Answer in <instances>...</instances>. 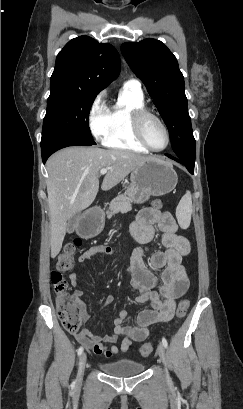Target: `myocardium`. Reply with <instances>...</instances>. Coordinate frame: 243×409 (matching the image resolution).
<instances>
[{"instance_id":"myocardium-1","label":"myocardium","mask_w":243,"mask_h":409,"mask_svg":"<svg viewBox=\"0 0 243 409\" xmlns=\"http://www.w3.org/2000/svg\"><path fill=\"white\" fill-rule=\"evenodd\" d=\"M149 117L155 119L162 126V128L164 129V132L166 134V138H167L166 145L161 149H156V148L152 147L145 138L143 124H144L145 119L149 118ZM131 122H132V129H133V132H134L136 138L149 151L162 152V151H164V150H166L168 148V146L170 144V140H171L170 139V131H169L165 121L160 116H158L157 114L147 110L146 108H142V109L135 110L133 112Z\"/></svg>"}]
</instances>
